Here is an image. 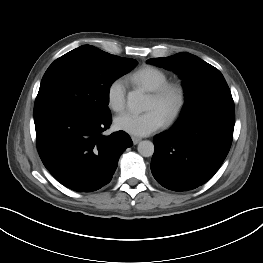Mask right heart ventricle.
Returning a JSON list of instances; mask_svg holds the SVG:
<instances>
[{
	"instance_id": "obj_1",
	"label": "right heart ventricle",
	"mask_w": 263,
	"mask_h": 263,
	"mask_svg": "<svg viewBox=\"0 0 263 263\" xmlns=\"http://www.w3.org/2000/svg\"><path fill=\"white\" fill-rule=\"evenodd\" d=\"M134 85L141 86L148 91H153L168 82L167 74L154 66H142L127 77Z\"/></svg>"
}]
</instances>
